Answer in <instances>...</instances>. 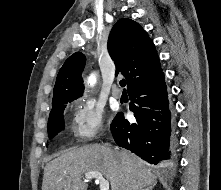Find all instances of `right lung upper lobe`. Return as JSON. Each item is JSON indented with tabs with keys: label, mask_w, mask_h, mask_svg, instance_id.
I'll return each instance as SVG.
<instances>
[{
	"label": "right lung upper lobe",
	"mask_w": 221,
	"mask_h": 190,
	"mask_svg": "<svg viewBox=\"0 0 221 190\" xmlns=\"http://www.w3.org/2000/svg\"><path fill=\"white\" fill-rule=\"evenodd\" d=\"M108 51L116 65L115 75L127 79L128 91L136 85L156 78L162 73L158 54L146 31L131 19H120L111 29ZM85 55L76 52L61 67L54 87L52 104L71 101L83 94L81 72Z\"/></svg>",
	"instance_id": "cb5924a9"
}]
</instances>
